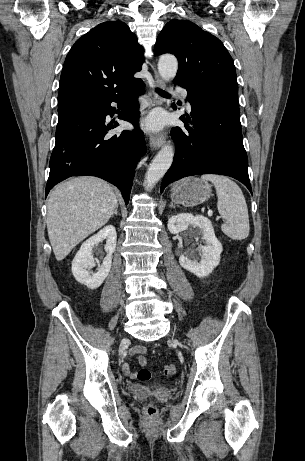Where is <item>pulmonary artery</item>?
I'll use <instances>...</instances> for the list:
<instances>
[{
	"mask_svg": "<svg viewBox=\"0 0 305 461\" xmlns=\"http://www.w3.org/2000/svg\"><path fill=\"white\" fill-rule=\"evenodd\" d=\"M181 96L186 100L187 107H190V103L188 101V93L185 89H179Z\"/></svg>",
	"mask_w": 305,
	"mask_h": 461,
	"instance_id": "1",
	"label": "pulmonary artery"
}]
</instances>
